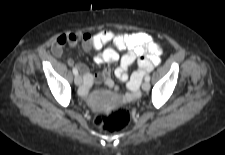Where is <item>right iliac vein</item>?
<instances>
[{
    "label": "right iliac vein",
    "mask_w": 225,
    "mask_h": 155,
    "mask_svg": "<svg viewBox=\"0 0 225 155\" xmlns=\"http://www.w3.org/2000/svg\"><path fill=\"white\" fill-rule=\"evenodd\" d=\"M74 82L77 86H80L82 84V78L80 75H76L74 78Z\"/></svg>",
    "instance_id": "obj_1"
}]
</instances>
